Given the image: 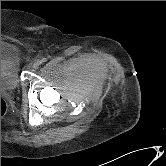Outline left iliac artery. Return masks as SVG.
Masks as SVG:
<instances>
[{
    "instance_id": "obj_1",
    "label": "left iliac artery",
    "mask_w": 166,
    "mask_h": 166,
    "mask_svg": "<svg viewBox=\"0 0 166 166\" xmlns=\"http://www.w3.org/2000/svg\"><path fill=\"white\" fill-rule=\"evenodd\" d=\"M46 61H47L46 58H42V59L40 60V64L43 63V62H46Z\"/></svg>"
}]
</instances>
